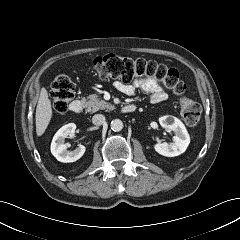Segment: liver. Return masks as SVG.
Segmentation results:
<instances>
[{
	"label": "liver",
	"instance_id": "obj_1",
	"mask_svg": "<svg viewBox=\"0 0 240 240\" xmlns=\"http://www.w3.org/2000/svg\"><path fill=\"white\" fill-rule=\"evenodd\" d=\"M52 117L51 101L48 98V92L46 89H42L36 108V133L37 136L43 135L47 129Z\"/></svg>",
	"mask_w": 240,
	"mask_h": 240
}]
</instances>
